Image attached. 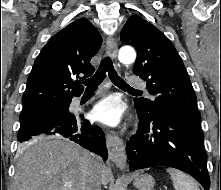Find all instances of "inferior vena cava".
Wrapping results in <instances>:
<instances>
[{"instance_id": "obj_1", "label": "inferior vena cava", "mask_w": 221, "mask_h": 190, "mask_svg": "<svg viewBox=\"0 0 221 190\" xmlns=\"http://www.w3.org/2000/svg\"><path fill=\"white\" fill-rule=\"evenodd\" d=\"M103 163L99 157L94 156L89 169V177L86 185V190H101V171Z\"/></svg>"}]
</instances>
